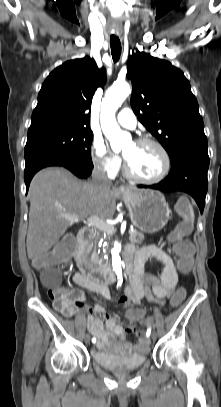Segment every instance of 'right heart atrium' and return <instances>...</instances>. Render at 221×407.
I'll return each mask as SVG.
<instances>
[{
    "instance_id": "obj_1",
    "label": "right heart atrium",
    "mask_w": 221,
    "mask_h": 407,
    "mask_svg": "<svg viewBox=\"0 0 221 407\" xmlns=\"http://www.w3.org/2000/svg\"><path fill=\"white\" fill-rule=\"evenodd\" d=\"M91 158L96 169L108 176H114L121 168V158L108 150L101 139H94Z\"/></svg>"
}]
</instances>
